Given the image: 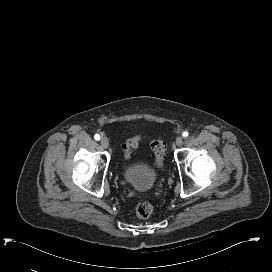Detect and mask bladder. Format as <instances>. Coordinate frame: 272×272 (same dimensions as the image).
<instances>
[{"label":"bladder","mask_w":272,"mask_h":272,"mask_svg":"<svg viewBox=\"0 0 272 272\" xmlns=\"http://www.w3.org/2000/svg\"><path fill=\"white\" fill-rule=\"evenodd\" d=\"M123 178L132 187L147 191L156 184L158 174L143 165H131L123 173Z\"/></svg>","instance_id":"31cf9c89"}]
</instances>
